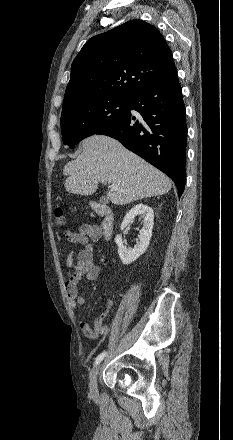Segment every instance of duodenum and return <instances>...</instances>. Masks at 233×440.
Returning <instances> with one entry per match:
<instances>
[{
	"instance_id": "duodenum-1",
	"label": "duodenum",
	"mask_w": 233,
	"mask_h": 440,
	"mask_svg": "<svg viewBox=\"0 0 233 440\" xmlns=\"http://www.w3.org/2000/svg\"><path fill=\"white\" fill-rule=\"evenodd\" d=\"M96 212L103 216V220L101 222V234L104 239H109L114 231V214L110 208L98 204L96 205Z\"/></svg>"
}]
</instances>
